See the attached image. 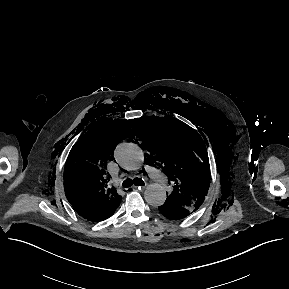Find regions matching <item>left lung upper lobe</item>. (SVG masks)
<instances>
[{"mask_svg": "<svg viewBox=\"0 0 289 289\" xmlns=\"http://www.w3.org/2000/svg\"><path fill=\"white\" fill-rule=\"evenodd\" d=\"M137 127L148 150L147 162L175 182L165 203L196 211L210 185L209 159L200 135L173 117H143Z\"/></svg>", "mask_w": 289, "mask_h": 289, "instance_id": "1", "label": "left lung upper lobe"}]
</instances>
